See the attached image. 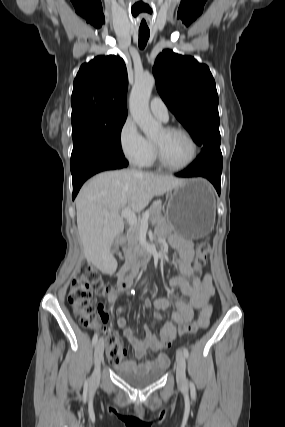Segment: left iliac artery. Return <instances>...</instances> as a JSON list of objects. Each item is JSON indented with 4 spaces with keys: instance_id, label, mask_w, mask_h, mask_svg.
<instances>
[{
    "instance_id": "left-iliac-artery-1",
    "label": "left iliac artery",
    "mask_w": 285,
    "mask_h": 427,
    "mask_svg": "<svg viewBox=\"0 0 285 427\" xmlns=\"http://www.w3.org/2000/svg\"><path fill=\"white\" fill-rule=\"evenodd\" d=\"M183 354H184V356H185L186 358H188V357H189V352H188V349H187V348H183Z\"/></svg>"
}]
</instances>
